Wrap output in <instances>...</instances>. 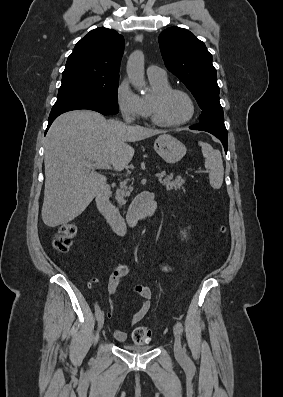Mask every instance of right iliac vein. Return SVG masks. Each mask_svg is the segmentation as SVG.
<instances>
[{"label":"right iliac vein","instance_id":"1","mask_svg":"<svg viewBox=\"0 0 283 397\" xmlns=\"http://www.w3.org/2000/svg\"><path fill=\"white\" fill-rule=\"evenodd\" d=\"M103 324H104V313L102 312L100 317L98 318V328H99V330L102 329Z\"/></svg>","mask_w":283,"mask_h":397}]
</instances>
